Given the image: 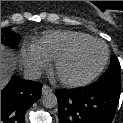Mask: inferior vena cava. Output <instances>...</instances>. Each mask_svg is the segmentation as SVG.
I'll return each instance as SVG.
<instances>
[{
	"label": "inferior vena cava",
	"mask_w": 123,
	"mask_h": 123,
	"mask_svg": "<svg viewBox=\"0 0 123 123\" xmlns=\"http://www.w3.org/2000/svg\"><path fill=\"white\" fill-rule=\"evenodd\" d=\"M41 75V70L35 67H27L23 71V76L26 80H36L39 79Z\"/></svg>",
	"instance_id": "inferior-vena-cava-1"
}]
</instances>
